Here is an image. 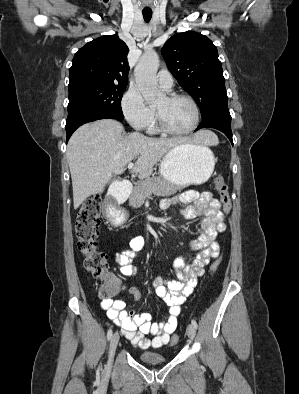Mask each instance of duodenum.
<instances>
[{
    "label": "duodenum",
    "mask_w": 299,
    "mask_h": 394,
    "mask_svg": "<svg viewBox=\"0 0 299 394\" xmlns=\"http://www.w3.org/2000/svg\"><path fill=\"white\" fill-rule=\"evenodd\" d=\"M129 192L130 187L125 184L111 188L104 204V214L108 221H116L118 219V207L126 200Z\"/></svg>",
    "instance_id": "410a0bca"
}]
</instances>
